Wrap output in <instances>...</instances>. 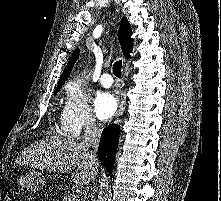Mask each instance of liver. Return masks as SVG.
Returning <instances> with one entry per match:
<instances>
[{
  "label": "liver",
  "mask_w": 221,
  "mask_h": 201,
  "mask_svg": "<svg viewBox=\"0 0 221 201\" xmlns=\"http://www.w3.org/2000/svg\"><path fill=\"white\" fill-rule=\"evenodd\" d=\"M89 146L74 139L47 136L31 144L16 163L38 169L72 173V180L87 185L98 172V161L91 157Z\"/></svg>",
  "instance_id": "6515ba94"
}]
</instances>
